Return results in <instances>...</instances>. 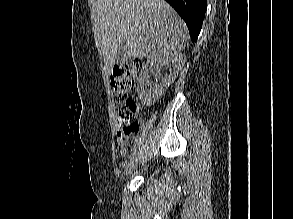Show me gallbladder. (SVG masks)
Segmentation results:
<instances>
[{"instance_id": "obj_1", "label": "gallbladder", "mask_w": 293, "mask_h": 219, "mask_svg": "<svg viewBox=\"0 0 293 219\" xmlns=\"http://www.w3.org/2000/svg\"><path fill=\"white\" fill-rule=\"evenodd\" d=\"M131 56L125 43H121L117 46L115 52V64L122 67L128 63Z\"/></svg>"}]
</instances>
